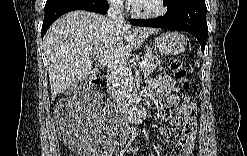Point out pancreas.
I'll return each instance as SVG.
<instances>
[{
	"label": "pancreas",
	"instance_id": "obj_1",
	"mask_svg": "<svg viewBox=\"0 0 247 156\" xmlns=\"http://www.w3.org/2000/svg\"><path fill=\"white\" fill-rule=\"evenodd\" d=\"M140 64V70L143 72L144 76H149L156 67L161 63V60L149 52L146 53ZM112 83L114 89H116L123 97H129L131 92L135 89V82L133 77L130 75L115 74L112 77Z\"/></svg>",
	"mask_w": 247,
	"mask_h": 156
}]
</instances>
